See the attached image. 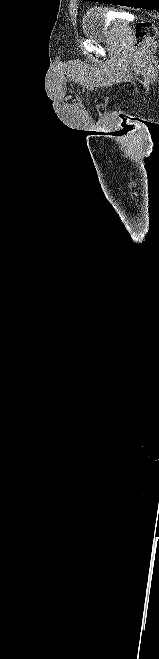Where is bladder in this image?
Wrapping results in <instances>:
<instances>
[{
	"label": "bladder",
	"instance_id": "obj_1",
	"mask_svg": "<svg viewBox=\"0 0 159 659\" xmlns=\"http://www.w3.org/2000/svg\"><path fill=\"white\" fill-rule=\"evenodd\" d=\"M118 31L116 25L107 26L105 10L95 7L88 8L82 17V32L86 39L106 40L114 36Z\"/></svg>",
	"mask_w": 159,
	"mask_h": 659
}]
</instances>
